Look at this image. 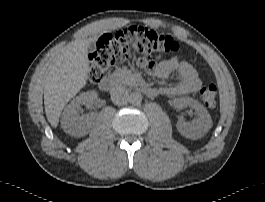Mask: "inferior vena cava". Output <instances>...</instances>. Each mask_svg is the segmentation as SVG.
<instances>
[{
  "label": "inferior vena cava",
  "mask_w": 265,
  "mask_h": 202,
  "mask_svg": "<svg viewBox=\"0 0 265 202\" xmlns=\"http://www.w3.org/2000/svg\"><path fill=\"white\" fill-rule=\"evenodd\" d=\"M111 100L116 105H124L129 100L128 90L123 86H116L111 90Z\"/></svg>",
  "instance_id": "obj_1"
}]
</instances>
